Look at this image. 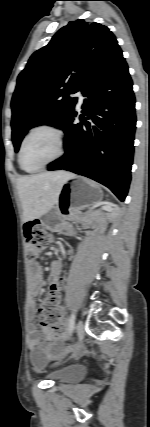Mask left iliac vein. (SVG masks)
<instances>
[{
  "instance_id": "1",
  "label": "left iliac vein",
  "mask_w": 150,
  "mask_h": 427,
  "mask_svg": "<svg viewBox=\"0 0 150 427\" xmlns=\"http://www.w3.org/2000/svg\"><path fill=\"white\" fill-rule=\"evenodd\" d=\"M76 333L79 339L83 338L84 336V323L82 320H79L76 325Z\"/></svg>"
}]
</instances>
